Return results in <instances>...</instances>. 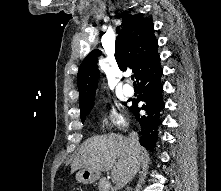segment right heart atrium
<instances>
[{
	"instance_id": "1",
	"label": "right heart atrium",
	"mask_w": 221,
	"mask_h": 191,
	"mask_svg": "<svg viewBox=\"0 0 221 191\" xmlns=\"http://www.w3.org/2000/svg\"><path fill=\"white\" fill-rule=\"evenodd\" d=\"M102 123L108 129L121 130L126 126V119L117 108H109L102 117Z\"/></svg>"
}]
</instances>
